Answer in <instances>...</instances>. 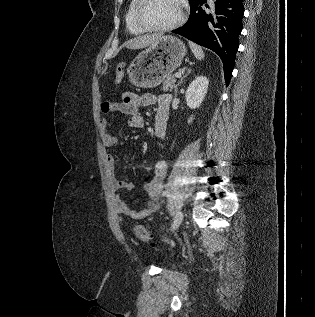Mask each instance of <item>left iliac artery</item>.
Wrapping results in <instances>:
<instances>
[{
	"mask_svg": "<svg viewBox=\"0 0 315 317\" xmlns=\"http://www.w3.org/2000/svg\"><path fill=\"white\" fill-rule=\"evenodd\" d=\"M169 195V192L168 191H165L164 193H163V196H168Z\"/></svg>",
	"mask_w": 315,
	"mask_h": 317,
	"instance_id": "obj_1",
	"label": "left iliac artery"
}]
</instances>
